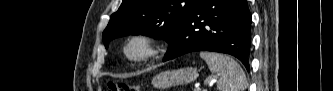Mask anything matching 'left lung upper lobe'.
Listing matches in <instances>:
<instances>
[{"label": "left lung upper lobe", "mask_w": 333, "mask_h": 91, "mask_svg": "<svg viewBox=\"0 0 333 91\" xmlns=\"http://www.w3.org/2000/svg\"><path fill=\"white\" fill-rule=\"evenodd\" d=\"M198 1L123 0L103 32L104 45L107 48L112 39L129 34L149 35L169 43Z\"/></svg>", "instance_id": "5c2ea615"}]
</instances>
